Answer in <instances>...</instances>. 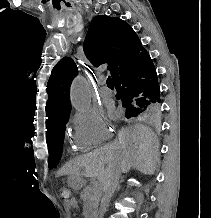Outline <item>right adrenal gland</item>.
<instances>
[{
    "instance_id": "1",
    "label": "right adrenal gland",
    "mask_w": 211,
    "mask_h": 218,
    "mask_svg": "<svg viewBox=\"0 0 211 218\" xmlns=\"http://www.w3.org/2000/svg\"><path fill=\"white\" fill-rule=\"evenodd\" d=\"M122 182H124V180H121L120 184H122ZM121 186H118V190H120Z\"/></svg>"
}]
</instances>
